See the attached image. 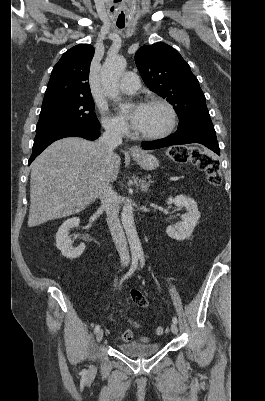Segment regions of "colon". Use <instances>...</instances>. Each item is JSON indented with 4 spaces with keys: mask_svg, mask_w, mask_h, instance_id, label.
<instances>
[{
    "mask_svg": "<svg viewBox=\"0 0 265 401\" xmlns=\"http://www.w3.org/2000/svg\"><path fill=\"white\" fill-rule=\"evenodd\" d=\"M169 158L176 162H193L199 169L206 173L207 181L211 186L217 187L221 184L222 175L219 162L206 151L196 147L176 146L167 151ZM124 336L128 335L127 330L123 331ZM156 334H164V328H156Z\"/></svg>",
    "mask_w": 265,
    "mask_h": 401,
    "instance_id": "1",
    "label": "colon"
}]
</instances>
